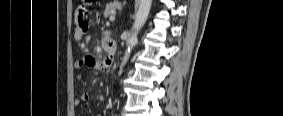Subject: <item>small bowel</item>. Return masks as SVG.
Instances as JSON below:
<instances>
[{"label": "small bowel", "instance_id": "obj_1", "mask_svg": "<svg viewBox=\"0 0 283 116\" xmlns=\"http://www.w3.org/2000/svg\"><path fill=\"white\" fill-rule=\"evenodd\" d=\"M75 17L77 19V24L75 27V39L78 42H81L87 32L88 24L85 20V9L84 8H78L75 13ZM111 61L106 59H96L91 56L84 57L83 59L77 61L75 63V68L80 70L84 67H92L99 71H105L107 68H109ZM91 99V94L88 91H83L80 94L79 99L76 100V105H79L80 102H88Z\"/></svg>", "mask_w": 283, "mask_h": 116}]
</instances>
